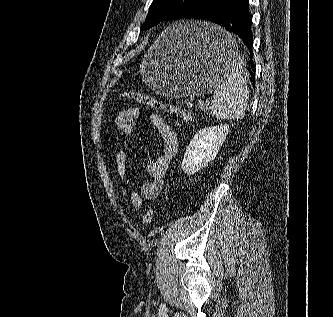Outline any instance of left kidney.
Returning a JSON list of instances; mask_svg holds the SVG:
<instances>
[{
	"label": "left kidney",
	"instance_id": "1",
	"mask_svg": "<svg viewBox=\"0 0 333 317\" xmlns=\"http://www.w3.org/2000/svg\"><path fill=\"white\" fill-rule=\"evenodd\" d=\"M229 126L220 125L199 130L187 147L182 170L193 175L207 166L217 155L229 132Z\"/></svg>",
	"mask_w": 333,
	"mask_h": 317
}]
</instances>
